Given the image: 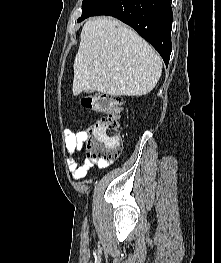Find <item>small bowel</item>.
Here are the masks:
<instances>
[{
	"instance_id": "1",
	"label": "small bowel",
	"mask_w": 221,
	"mask_h": 263,
	"mask_svg": "<svg viewBox=\"0 0 221 263\" xmlns=\"http://www.w3.org/2000/svg\"><path fill=\"white\" fill-rule=\"evenodd\" d=\"M66 148L70 154L74 156V159L70 160L69 168L72 177L75 180L82 179L88 175V173L93 169L96 164L99 168H107L114 163L113 160H84L82 164H78L75 159L81 157V151L84 142L87 139V133L85 131L71 132L66 131Z\"/></svg>"
}]
</instances>
